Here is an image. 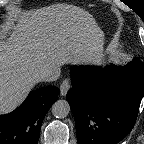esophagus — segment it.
<instances>
[{
	"instance_id": "1",
	"label": "esophagus",
	"mask_w": 144,
	"mask_h": 144,
	"mask_svg": "<svg viewBox=\"0 0 144 144\" xmlns=\"http://www.w3.org/2000/svg\"><path fill=\"white\" fill-rule=\"evenodd\" d=\"M72 87L70 79H65L60 85V94L61 96H66L67 92Z\"/></svg>"
}]
</instances>
